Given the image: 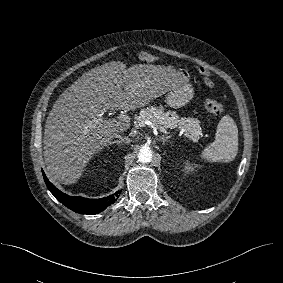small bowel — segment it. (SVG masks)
I'll return each instance as SVG.
<instances>
[{
  "label": "small bowel",
  "mask_w": 283,
  "mask_h": 283,
  "mask_svg": "<svg viewBox=\"0 0 283 283\" xmlns=\"http://www.w3.org/2000/svg\"><path fill=\"white\" fill-rule=\"evenodd\" d=\"M201 72H202V74L205 77V82H206L207 86L212 87V82L209 79V73L205 69H203V68L201 69Z\"/></svg>",
  "instance_id": "c3829d8e"
}]
</instances>
